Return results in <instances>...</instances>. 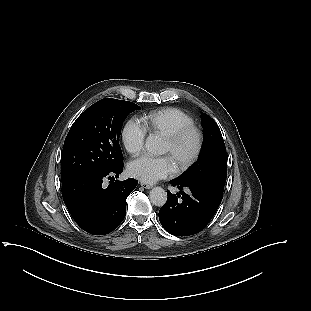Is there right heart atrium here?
I'll return each mask as SVG.
<instances>
[{"instance_id":"right-heart-atrium-1","label":"right heart atrium","mask_w":311,"mask_h":311,"mask_svg":"<svg viewBox=\"0 0 311 311\" xmlns=\"http://www.w3.org/2000/svg\"><path fill=\"white\" fill-rule=\"evenodd\" d=\"M146 134L145 127L137 120L132 118L126 122L122 130V138L127 151L131 155H137L142 151Z\"/></svg>"}]
</instances>
